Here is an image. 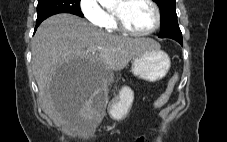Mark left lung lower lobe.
<instances>
[{
	"mask_svg": "<svg viewBox=\"0 0 227 142\" xmlns=\"http://www.w3.org/2000/svg\"><path fill=\"white\" fill-rule=\"evenodd\" d=\"M175 40V39H174ZM176 41H178L181 45H182V40H176Z\"/></svg>",
	"mask_w": 227,
	"mask_h": 142,
	"instance_id": "0a47b994",
	"label": "left lung lower lobe"
}]
</instances>
